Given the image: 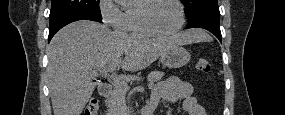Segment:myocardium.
Masks as SVG:
<instances>
[{
    "instance_id": "f54148a6",
    "label": "myocardium",
    "mask_w": 285,
    "mask_h": 115,
    "mask_svg": "<svg viewBox=\"0 0 285 115\" xmlns=\"http://www.w3.org/2000/svg\"><path fill=\"white\" fill-rule=\"evenodd\" d=\"M157 1H162V0H145L141 5H139V17H140V22L145 29V31L152 35V36H158V37H168V36H173L179 33L182 28L184 27L185 21H186V15H185V9L180 0H168L173 2L179 10V24L176 29L169 31V32H162L157 29H155L148 21L147 16H146V11L151 7L152 4H154Z\"/></svg>"
}]
</instances>
